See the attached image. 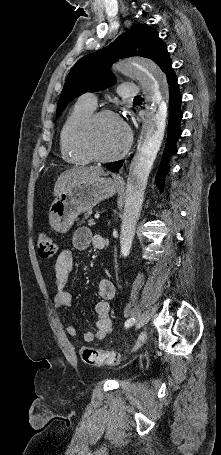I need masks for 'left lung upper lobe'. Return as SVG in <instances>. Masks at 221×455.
Instances as JSON below:
<instances>
[{"mask_svg":"<svg viewBox=\"0 0 221 455\" xmlns=\"http://www.w3.org/2000/svg\"><path fill=\"white\" fill-rule=\"evenodd\" d=\"M142 56L153 60L164 72L171 65L167 46L155 28L135 25L121 34L106 48L82 57L71 69L60 95L56 118L66 106L85 92H96L114 85L110 71L112 63L120 58Z\"/></svg>","mask_w":221,"mask_h":455,"instance_id":"obj_1","label":"left lung upper lobe"}]
</instances>
